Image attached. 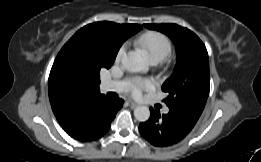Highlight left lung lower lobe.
I'll return each mask as SVG.
<instances>
[{"label": "left lung lower lobe", "instance_id": "left-lung-lower-lobe-1", "mask_svg": "<svg viewBox=\"0 0 261 162\" xmlns=\"http://www.w3.org/2000/svg\"><path fill=\"white\" fill-rule=\"evenodd\" d=\"M150 118L139 125L141 135L157 147L170 146L181 141L195 126L200 115L183 106L171 107L160 115L150 108Z\"/></svg>", "mask_w": 261, "mask_h": 162}]
</instances>
